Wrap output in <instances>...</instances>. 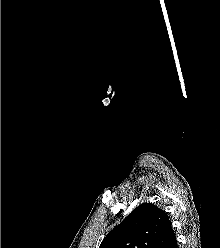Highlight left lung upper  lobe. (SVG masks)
Segmentation results:
<instances>
[{"instance_id": "5c2ea615", "label": "left lung upper lobe", "mask_w": 220, "mask_h": 248, "mask_svg": "<svg viewBox=\"0 0 220 248\" xmlns=\"http://www.w3.org/2000/svg\"><path fill=\"white\" fill-rule=\"evenodd\" d=\"M174 236L167 213L143 203L106 235L99 248H166Z\"/></svg>"}]
</instances>
